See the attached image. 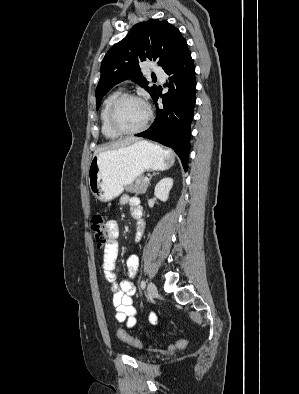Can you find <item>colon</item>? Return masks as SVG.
<instances>
[{
  "label": "colon",
  "instance_id": "obj_1",
  "mask_svg": "<svg viewBox=\"0 0 299 394\" xmlns=\"http://www.w3.org/2000/svg\"><path fill=\"white\" fill-rule=\"evenodd\" d=\"M106 216L101 212H97L92 216L91 231L98 246H104L108 240V232L106 227ZM117 336L120 340L131 343L136 346L140 344L134 341L124 330L118 329ZM188 340H182L174 345V347L182 348L188 345Z\"/></svg>",
  "mask_w": 299,
  "mask_h": 394
}]
</instances>
